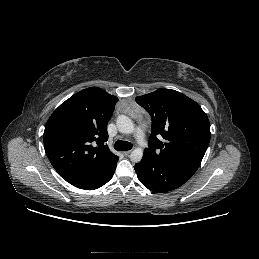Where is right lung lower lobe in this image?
I'll list each match as a JSON object with an SVG mask.
<instances>
[{
  "mask_svg": "<svg viewBox=\"0 0 259 259\" xmlns=\"http://www.w3.org/2000/svg\"><path fill=\"white\" fill-rule=\"evenodd\" d=\"M117 165V164H116ZM116 165L110 169L106 174H104L103 176L93 179L89 182H86L84 184L78 185L76 187L81 188V189H85V190H94V189H98L101 186H103L104 184H106L108 181L111 180L115 169H116Z\"/></svg>",
  "mask_w": 259,
  "mask_h": 259,
  "instance_id": "obj_1",
  "label": "right lung lower lobe"
}]
</instances>
